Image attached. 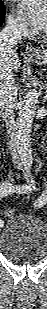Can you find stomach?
Returning a JSON list of instances; mask_svg holds the SVG:
<instances>
[{
    "mask_svg": "<svg viewBox=\"0 0 47 309\" xmlns=\"http://www.w3.org/2000/svg\"><path fill=\"white\" fill-rule=\"evenodd\" d=\"M29 60L47 65V50L42 51L37 55L29 57Z\"/></svg>",
    "mask_w": 47,
    "mask_h": 309,
    "instance_id": "stomach-1",
    "label": "stomach"
}]
</instances>
